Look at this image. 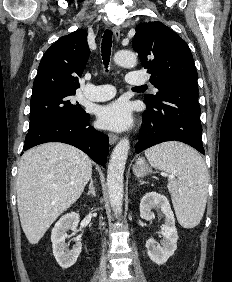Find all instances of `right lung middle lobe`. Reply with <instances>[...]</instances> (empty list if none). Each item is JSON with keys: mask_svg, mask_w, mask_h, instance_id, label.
I'll list each match as a JSON object with an SVG mask.
<instances>
[{"mask_svg": "<svg viewBox=\"0 0 232 282\" xmlns=\"http://www.w3.org/2000/svg\"><path fill=\"white\" fill-rule=\"evenodd\" d=\"M75 91L43 89L32 92L29 130H34L61 117L82 118L87 113L71 102Z\"/></svg>", "mask_w": 232, "mask_h": 282, "instance_id": "right-lung-middle-lobe-1", "label": "right lung middle lobe"}]
</instances>
